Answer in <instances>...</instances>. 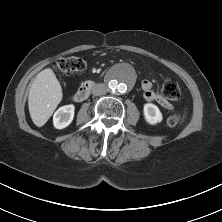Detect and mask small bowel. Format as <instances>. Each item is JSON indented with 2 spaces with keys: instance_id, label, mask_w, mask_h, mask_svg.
I'll use <instances>...</instances> for the list:
<instances>
[{
  "instance_id": "obj_1",
  "label": "small bowel",
  "mask_w": 222,
  "mask_h": 222,
  "mask_svg": "<svg viewBox=\"0 0 222 222\" xmlns=\"http://www.w3.org/2000/svg\"><path fill=\"white\" fill-rule=\"evenodd\" d=\"M141 88L143 90L144 97L147 101L158 102L163 108L167 110H172V105L164 99L162 96L156 93V91L153 89V85L149 80H143L141 82Z\"/></svg>"
}]
</instances>
